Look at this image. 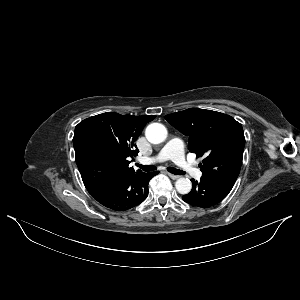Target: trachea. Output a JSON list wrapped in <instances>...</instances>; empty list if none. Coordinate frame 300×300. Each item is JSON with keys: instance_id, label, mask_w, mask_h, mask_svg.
I'll return each instance as SVG.
<instances>
[{"instance_id": "trachea-1", "label": "trachea", "mask_w": 300, "mask_h": 300, "mask_svg": "<svg viewBox=\"0 0 300 300\" xmlns=\"http://www.w3.org/2000/svg\"><path fill=\"white\" fill-rule=\"evenodd\" d=\"M139 168H141L144 171H154L157 169V167L155 165H140V164H136ZM167 171H169L172 174L175 175H184L185 172L180 170V169H176L174 167H167Z\"/></svg>"}]
</instances>
